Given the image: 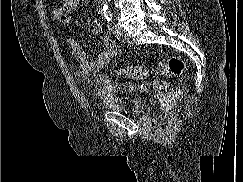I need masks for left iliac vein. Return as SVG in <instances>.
<instances>
[{"label":"left iliac vein","instance_id":"4c4485c4","mask_svg":"<svg viewBox=\"0 0 243 182\" xmlns=\"http://www.w3.org/2000/svg\"><path fill=\"white\" fill-rule=\"evenodd\" d=\"M122 36H123L125 39H129V35H128V33H127L126 30H123V31H122Z\"/></svg>","mask_w":243,"mask_h":182}]
</instances>
